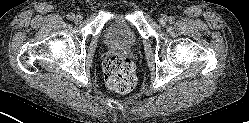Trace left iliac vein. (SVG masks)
Here are the masks:
<instances>
[{"label":"left iliac vein","instance_id":"4c4485c4","mask_svg":"<svg viewBox=\"0 0 249 123\" xmlns=\"http://www.w3.org/2000/svg\"><path fill=\"white\" fill-rule=\"evenodd\" d=\"M168 21V17L166 15H161L159 18V23L161 26H165Z\"/></svg>","mask_w":249,"mask_h":123}]
</instances>
